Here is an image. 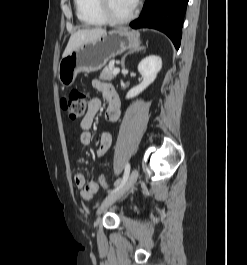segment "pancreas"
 Returning <instances> with one entry per match:
<instances>
[{
	"mask_svg": "<svg viewBox=\"0 0 247 265\" xmlns=\"http://www.w3.org/2000/svg\"><path fill=\"white\" fill-rule=\"evenodd\" d=\"M113 71H114V67L104 68L100 73L99 79L109 80V81L112 80L115 77Z\"/></svg>",
	"mask_w": 247,
	"mask_h": 265,
	"instance_id": "pancreas-1",
	"label": "pancreas"
}]
</instances>
